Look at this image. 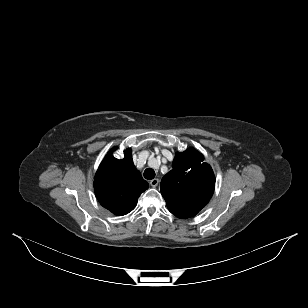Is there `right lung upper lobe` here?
Instances as JSON below:
<instances>
[{"label": "right lung upper lobe", "instance_id": "1", "mask_svg": "<svg viewBox=\"0 0 308 308\" xmlns=\"http://www.w3.org/2000/svg\"><path fill=\"white\" fill-rule=\"evenodd\" d=\"M94 189L100 204L113 214L122 216L134 209L148 183L135 168L130 148L123 159L113 157L112 151L106 155L96 172Z\"/></svg>", "mask_w": 308, "mask_h": 308}]
</instances>
